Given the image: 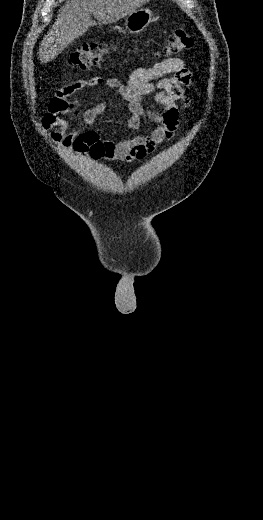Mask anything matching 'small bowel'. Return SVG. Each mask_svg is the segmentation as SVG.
Here are the masks:
<instances>
[{"instance_id":"small-bowel-1","label":"small bowel","mask_w":263,"mask_h":520,"mask_svg":"<svg viewBox=\"0 0 263 520\" xmlns=\"http://www.w3.org/2000/svg\"><path fill=\"white\" fill-rule=\"evenodd\" d=\"M100 85L116 89L127 101V127L131 131H139L142 119L147 118L155 124L150 133L138 134L118 142L101 138L91 125L105 111L106 106L100 104L77 110L72 99L77 92ZM191 86L192 73L181 58H167L153 66L137 68L126 82L118 78L80 79L56 91L48 104L47 113L41 119V126L45 131H51L55 143L67 151L77 152L83 160H140L174 135L181 115L190 107L191 99L185 89ZM147 96L161 105L163 110H147L143 105ZM67 114L78 116L80 129L69 130L68 122L63 117Z\"/></svg>"}]
</instances>
